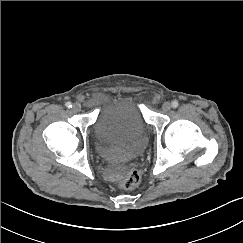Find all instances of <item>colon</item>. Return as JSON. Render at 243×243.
I'll use <instances>...</instances> for the list:
<instances>
[{"label": "colon", "mask_w": 243, "mask_h": 243, "mask_svg": "<svg viewBox=\"0 0 243 243\" xmlns=\"http://www.w3.org/2000/svg\"><path fill=\"white\" fill-rule=\"evenodd\" d=\"M141 180V174L137 170H130L122 182L120 183V187L124 190H132L136 188Z\"/></svg>", "instance_id": "1"}]
</instances>
